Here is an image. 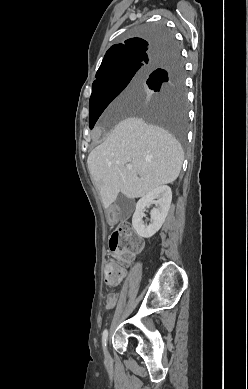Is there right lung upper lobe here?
Segmentation results:
<instances>
[{
    "mask_svg": "<svg viewBox=\"0 0 248 389\" xmlns=\"http://www.w3.org/2000/svg\"><path fill=\"white\" fill-rule=\"evenodd\" d=\"M173 43V42H168ZM170 47L141 38H131L123 44L113 45L105 54L96 73V80L108 72L133 66L142 68L152 66L157 56L164 54Z\"/></svg>",
    "mask_w": 248,
    "mask_h": 389,
    "instance_id": "right-lung-upper-lobe-1",
    "label": "right lung upper lobe"
}]
</instances>
